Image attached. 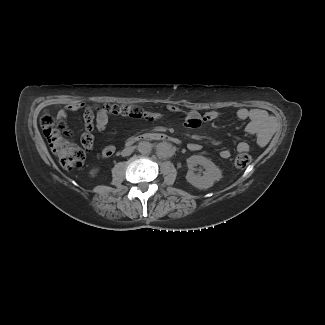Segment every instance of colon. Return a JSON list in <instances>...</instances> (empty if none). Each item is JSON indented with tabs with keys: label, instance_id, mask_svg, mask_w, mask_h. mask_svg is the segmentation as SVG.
Listing matches in <instances>:
<instances>
[{
	"label": "colon",
	"instance_id": "5ec220e1",
	"mask_svg": "<svg viewBox=\"0 0 325 325\" xmlns=\"http://www.w3.org/2000/svg\"><path fill=\"white\" fill-rule=\"evenodd\" d=\"M96 109L109 115L134 118L141 117L145 114L144 109L136 105L104 104L102 106H97ZM41 125L52 152L57 156L63 168L72 170L80 167L84 163V150L62 135L52 116L49 114L43 115L41 118ZM251 161L252 158L250 154L241 152L235 158L234 165L238 169H245L250 165Z\"/></svg>",
	"mask_w": 325,
	"mask_h": 325
}]
</instances>
